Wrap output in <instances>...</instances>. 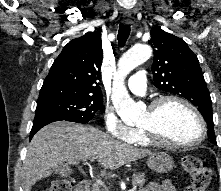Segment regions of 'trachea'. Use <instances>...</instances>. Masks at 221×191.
<instances>
[{"mask_svg": "<svg viewBox=\"0 0 221 191\" xmlns=\"http://www.w3.org/2000/svg\"><path fill=\"white\" fill-rule=\"evenodd\" d=\"M130 25L121 23L118 30V44L120 47H124L129 35Z\"/></svg>", "mask_w": 221, "mask_h": 191, "instance_id": "3493384b", "label": "trachea"}]
</instances>
